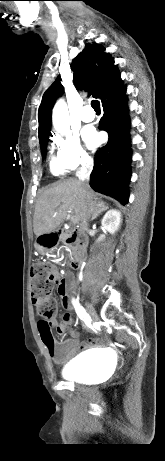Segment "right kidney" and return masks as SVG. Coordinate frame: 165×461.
<instances>
[{"label": "right kidney", "instance_id": "right-kidney-1", "mask_svg": "<svg viewBox=\"0 0 165 461\" xmlns=\"http://www.w3.org/2000/svg\"><path fill=\"white\" fill-rule=\"evenodd\" d=\"M103 228L111 234H115L121 224V212L116 209L109 210L101 220Z\"/></svg>", "mask_w": 165, "mask_h": 461}]
</instances>
